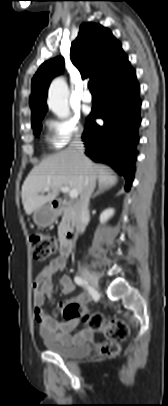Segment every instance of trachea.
Segmentation results:
<instances>
[{"label": "trachea", "mask_w": 168, "mask_h": 406, "mask_svg": "<svg viewBox=\"0 0 168 406\" xmlns=\"http://www.w3.org/2000/svg\"><path fill=\"white\" fill-rule=\"evenodd\" d=\"M88 88L90 89L91 92H95V91H96L95 88H94V85L92 84V82H89V83H88Z\"/></svg>", "instance_id": "trachea-1"}]
</instances>
